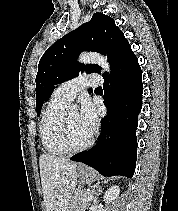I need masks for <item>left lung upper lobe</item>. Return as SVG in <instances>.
<instances>
[{
  "instance_id": "1",
  "label": "left lung upper lobe",
  "mask_w": 178,
  "mask_h": 211,
  "mask_svg": "<svg viewBox=\"0 0 178 211\" xmlns=\"http://www.w3.org/2000/svg\"><path fill=\"white\" fill-rule=\"evenodd\" d=\"M130 49L115 21L103 13H95L89 22L57 40L41 57L36 75L37 115L48 92L56 84L77 77L79 71L101 73L98 65L77 63L81 51H95L107 56L113 70Z\"/></svg>"
}]
</instances>
